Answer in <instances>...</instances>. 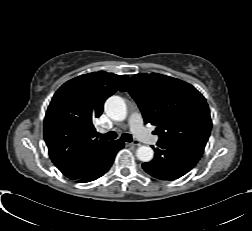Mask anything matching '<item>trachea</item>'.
Returning <instances> with one entry per match:
<instances>
[{
	"label": "trachea",
	"instance_id": "1",
	"mask_svg": "<svg viewBox=\"0 0 252 231\" xmlns=\"http://www.w3.org/2000/svg\"><path fill=\"white\" fill-rule=\"evenodd\" d=\"M98 137L103 138V139H107V140H113L116 139L117 134L114 131H110L108 133L105 134H97ZM121 139L126 141V142H132V136L130 134L124 133L121 136Z\"/></svg>",
	"mask_w": 252,
	"mask_h": 231
}]
</instances>
